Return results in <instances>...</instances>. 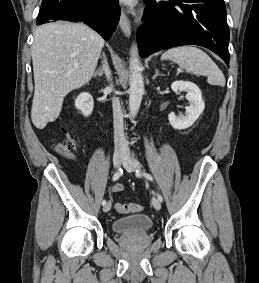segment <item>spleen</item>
<instances>
[{"instance_id": "1", "label": "spleen", "mask_w": 259, "mask_h": 283, "mask_svg": "<svg viewBox=\"0 0 259 283\" xmlns=\"http://www.w3.org/2000/svg\"><path fill=\"white\" fill-rule=\"evenodd\" d=\"M196 75H206L213 85L225 86V77L213 60L201 49L181 46L167 50L161 57Z\"/></svg>"}]
</instances>
